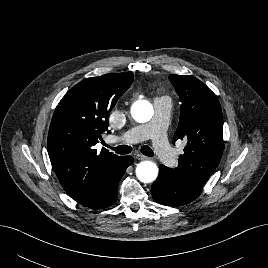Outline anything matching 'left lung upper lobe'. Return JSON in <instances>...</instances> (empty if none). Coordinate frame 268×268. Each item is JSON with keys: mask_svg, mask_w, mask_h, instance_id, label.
Wrapping results in <instances>:
<instances>
[{"mask_svg": "<svg viewBox=\"0 0 268 268\" xmlns=\"http://www.w3.org/2000/svg\"><path fill=\"white\" fill-rule=\"evenodd\" d=\"M169 79L181 101L174 141L186 143L177 168H167L175 181L202 192L223 152V116L216 95L193 76L171 74Z\"/></svg>", "mask_w": 268, "mask_h": 268, "instance_id": "1", "label": "left lung upper lobe"}]
</instances>
